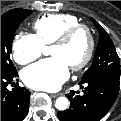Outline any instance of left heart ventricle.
<instances>
[{
  "label": "left heart ventricle",
  "instance_id": "b2bd125f",
  "mask_svg": "<svg viewBox=\"0 0 121 121\" xmlns=\"http://www.w3.org/2000/svg\"><path fill=\"white\" fill-rule=\"evenodd\" d=\"M88 47V40L86 34L81 31L76 34L65 45H53L51 54L54 57L63 58L66 63L71 66L80 62L86 54Z\"/></svg>",
  "mask_w": 121,
  "mask_h": 121
}]
</instances>
